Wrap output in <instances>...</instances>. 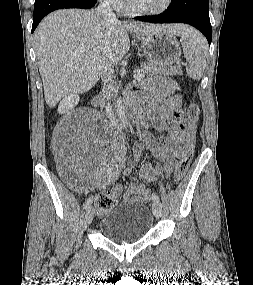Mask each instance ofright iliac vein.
I'll list each match as a JSON object with an SVG mask.
<instances>
[{
	"instance_id": "obj_1",
	"label": "right iliac vein",
	"mask_w": 253,
	"mask_h": 285,
	"mask_svg": "<svg viewBox=\"0 0 253 285\" xmlns=\"http://www.w3.org/2000/svg\"><path fill=\"white\" fill-rule=\"evenodd\" d=\"M93 218H94V208L89 206L85 214L86 223L91 224Z\"/></svg>"
}]
</instances>
